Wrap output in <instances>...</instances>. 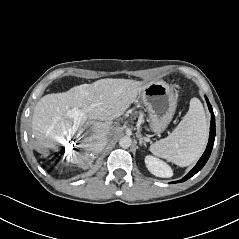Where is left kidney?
I'll return each instance as SVG.
<instances>
[{
	"label": "left kidney",
	"instance_id": "5707ae66",
	"mask_svg": "<svg viewBox=\"0 0 239 239\" xmlns=\"http://www.w3.org/2000/svg\"><path fill=\"white\" fill-rule=\"evenodd\" d=\"M145 164L148 170L157 177L169 178L173 175L172 169L166 163L151 155L145 157Z\"/></svg>",
	"mask_w": 239,
	"mask_h": 239
}]
</instances>
